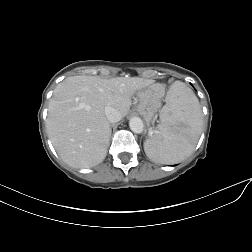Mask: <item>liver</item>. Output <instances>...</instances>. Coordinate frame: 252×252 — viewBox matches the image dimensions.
Segmentation results:
<instances>
[{"instance_id": "obj_1", "label": "liver", "mask_w": 252, "mask_h": 252, "mask_svg": "<svg viewBox=\"0 0 252 252\" xmlns=\"http://www.w3.org/2000/svg\"><path fill=\"white\" fill-rule=\"evenodd\" d=\"M154 80L139 77L102 79L72 76L57 85L49 102L47 133L60 158L75 168H90L107 154L111 136L104 109L128 114L136 92Z\"/></svg>"}]
</instances>
